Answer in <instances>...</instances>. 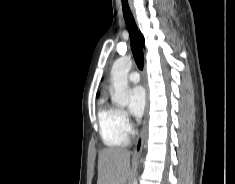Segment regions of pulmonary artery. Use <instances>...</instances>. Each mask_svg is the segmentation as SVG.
<instances>
[{
    "instance_id": "1",
    "label": "pulmonary artery",
    "mask_w": 235,
    "mask_h": 184,
    "mask_svg": "<svg viewBox=\"0 0 235 184\" xmlns=\"http://www.w3.org/2000/svg\"><path fill=\"white\" fill-rule=\"evenodd\" d=\"M140 79H141L140 74H139L138 72H136V71L131 72V73H129V75H128V80H129V82H131L132 84H137V83H139V82H140Z\"/></svg>"
}]
</instances>
